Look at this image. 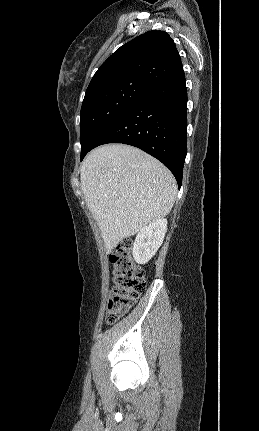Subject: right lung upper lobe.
Here are the masks:
<instances>
[{
    "instance_id": "obj_1",
    "label": "right lung upper lobe",
    "mask_w": 259,
    "mask_h": 431,
    "mask_svg": "<svg viewBox=\"0 0 259 431\" xmlns=\"http://www.w3.org/2000/svg\"><path fill=\"white\" fill-rule=\"evenodd\" d=\"M182 73L179 53L168 33L149 31L121 46L99 67L85 98L133 82L151 88Z\"/></svg>"
}]
</instances>
